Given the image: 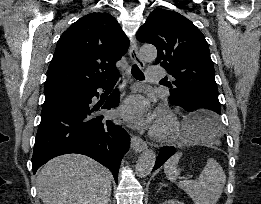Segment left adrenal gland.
<instances>
[{"instance_id":"left-adrenal-gland-1","label":"left adrenal gland","mask_w":261,"mask_h":204,"mask_svg":"<svg viewBox=\"0 0 261 204\" xmlns=\"http://www.w3.org/2000/svg\"><path fill=\"white\" fill-rule=\"evenodd\" d=\"M162 186H165V184L161 183V184H160V188H159V190L161 189Z\"/></svg>"}]
</instances>
